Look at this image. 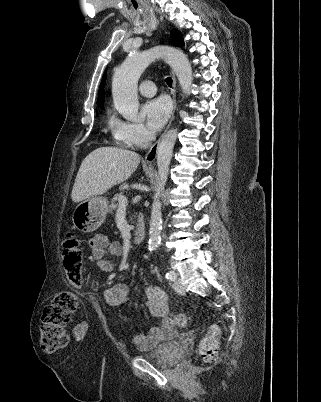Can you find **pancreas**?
<instances>
[{"instance_id": "1", "label": "pancreas", "mask_w": 321, "mask_h": 402, "mask_svg": "<svg viewBox=\"0 0 321 402\" xmlns=\"http://www.w3.org/2000/svg\"><path fill=\"white\" fill-rule=\"evenodd\" d=\"M123 196L122 193L119 194H115L114 197L111 199V204L109 206V213L113 214V212L116 210L117 208V201L119 200V198Z\"/></svg>"}]
</instances>
